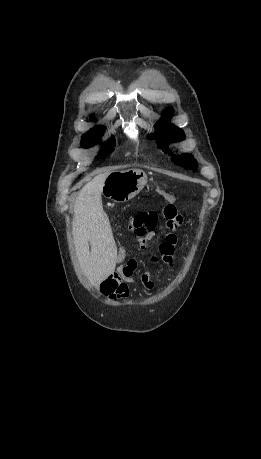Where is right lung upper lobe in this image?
Returning a JSON list of instances; mask_svg holds the SVG:
<instances>
[{
  "label": "right lung upper lobe",
  "mask_w": 261,
  "mask_h": 459,
  "mask_svg": "<svg viewBox=\"0 0 261 459\" xmlns=\"http://www.w3.org/2000/svg\"><path fill=\"white\" fill-rule=\"evenodd\" d=\"M97 132H102V129L101 128H95L93 130H91L89 133H97ZM87 133V134H89Z\"/></svg>",
  "instance_id": "obj_1"
}]
</instances>
